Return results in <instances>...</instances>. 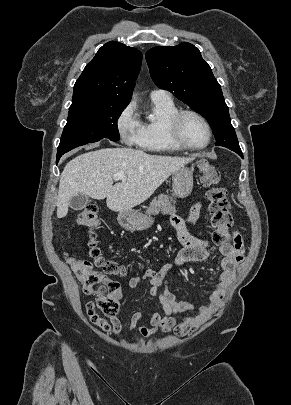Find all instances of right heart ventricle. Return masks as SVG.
<instances>
[{
	"label": "right heart ventricle",
	"instance_id": "right-heart-ventricle-1",
	"mask_svg": "<svg viewBox=\"0 0 291 405\" xmlns=\"http://www.w3.org/2000/svg\"><path fill=\"white\" fill-rule=\"evenodd\" d=\"M172 99H152V114L141 121L138 146L143 150L159 153H175L183 149L170 138V118L178 111Z\"/></svg>",
	"mask_w": 291,
	"mask_h": 405
}]
</instances>
